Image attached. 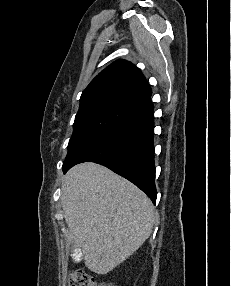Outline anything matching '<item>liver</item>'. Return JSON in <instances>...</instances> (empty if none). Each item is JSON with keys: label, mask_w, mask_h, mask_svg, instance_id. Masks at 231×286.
<instances>
[{"label": "liver", "mask_w": 231, "mask_h": 286, "mask_svg": "<svg viewBox=\"0 0 231 286\" xmlns=\"http://www.w3.org/2000/svg\"><path fill=\"white\" fill-rule=\"evenodd\" d=\"M61 204L70 237L85 266L107 274L129 258L152 233L151 200L134 184L95 163L65 175Z\"/></svg>", "instance_id": "6515ba94"}]
</instances>
